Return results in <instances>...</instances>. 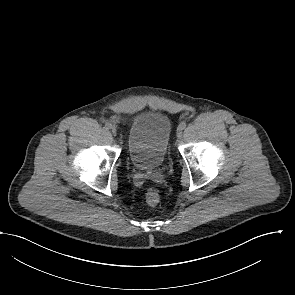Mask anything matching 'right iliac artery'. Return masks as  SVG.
<instances>
[{"instance_id":"82829eb1","label":"right iliac artery","mask_w":295,"mask_h":295,"mask_svg":"<svg viewBox=\"0 0 295 295\" xmlns=\"http://www.w3.org/2000/svg\"><path fill=\"white\" fill-rule=\"evenodd\" d=\"M111 127H112V124L111 123L107 122L105 124V129H110Z\"/></svg>"}]
</instances>
